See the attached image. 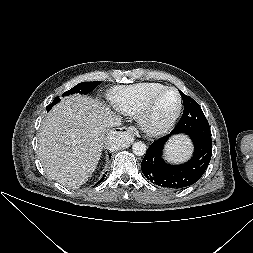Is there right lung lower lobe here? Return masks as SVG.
<instances>
[{
  "mask_svg": "<svg viewBox=\"0 0 253 253\" xmlns=\"http://www.w3.org/2000/svg\"><path fill=\"white\" fill-rule=\"evenodd\" d=\"M105 176H106V175H103V177L101 178V180H100L96 185L100 184V183L104 180ZM96 185H95V186H96Z\"/></svg>",
  "mask_w": 253,
  "mask_h": 253,
  "instance_id": "right-lung-lower-lobe-1",
  "label": "right lung lower lobe"
}]
</instances>
